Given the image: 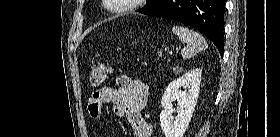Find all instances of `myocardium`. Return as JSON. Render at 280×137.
Wrapping results in <instances>:
<instances>
[{
  "mask_svg": "<svg viewBox=\"0 0 280 137\" xmlns=\"http://www.w3.org/2000/svg\"><path fill=\"white\" fill-rule=\"evenodd\" d=\"M138 2H140V0H127L126 4H124L122 7L117 8V9H112L108 4H106V6L113 13H123V12H127V11H130V10H133L136 7Z\"/></svg>",
  "mask_w": 280,
  "mask_h": 137,
  "instance_id": "1",
  "label": "myocardium"
}]
</instances>
